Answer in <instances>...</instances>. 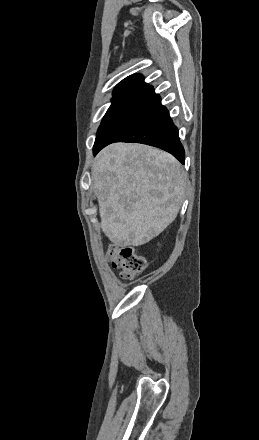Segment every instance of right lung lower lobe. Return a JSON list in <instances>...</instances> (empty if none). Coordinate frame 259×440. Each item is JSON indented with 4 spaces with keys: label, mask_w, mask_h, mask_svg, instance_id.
Listing matches in <instances>:
<instances>
[{
    "label": "right lung lower lobe",
    "mask_w": 259,
    "mask_h": 440,
    "mask_svg": "<svg viewBox=\"0 0 259 440\" xmlns=\"http://www.w3.org/2000/svg\"><path fill=\"white\" fill-rule=\"evenodd\" d=\"M137 142L161 148L185 162L184 148L161 98L152 89L132 112L105 138L95 141L93 154L113 142Z\"/></svg>",
    "instance_id": "98d812e1"
}]
</instances>
